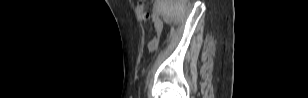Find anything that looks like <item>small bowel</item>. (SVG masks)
I'll use <instances>...</instances> for the list:
<instances>
[{
    "label": "small bowel",
    "mask_w": 308,
    "mask_h": 98,
    "mask_svg": "<svg viewBox=\"0 0 308 98\" xmlns=\"http://www.w3.org/2000/svg\"><path fill=\"white\" fill-rule=\"evenodd\" d=\"M161 25L160 24H157L156 25V32L159 33L161 32ZM156 46H157V39L154 38L150 43H149V50L150 51H154L156 49Z\"/></svg>",
    "instance_id": "small-bowel-1"
}]
</instances>
